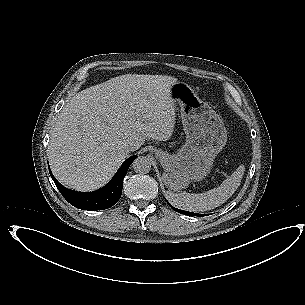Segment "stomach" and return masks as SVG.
<instances>
[{
    "instance_id": "1",
    "label": "stomach",
    "mask_w": 305,
    "mask_h": 305,
    "mask_svg": "<svg viewBox=\"0 0 305 305\" xmlns=\"http://www.w3.org/2000/svg\"><path fill=\"white\" fill-rule=\"evenodd\" d=\"M168 98L180 106L186 141L175 154L158 150L167 188L178 191L203 180L211 171L215 156L226 144V131L216 112L185 82L171 85Z\"/></svg>"
}]
</instances>
